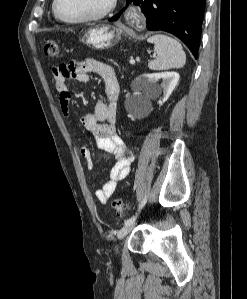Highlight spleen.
<instances>
[{"instance_id": "1", "label": "spleen", "mask_w": 247, "mask_h": 299, "mask_svg": "<svg viewBox=\"0 0 247 299\" xmlns=\"http://www.w3.org/2000/svg\"><path fill=\"white\" fill-rule=\"evenodd\" d=\"M148 42L154 43L156 59L148 63L151 70H168L181 68L185 65L186 55L181 44L175 39L157 34L148 38Z\"/></svg>"}]
</instances>
